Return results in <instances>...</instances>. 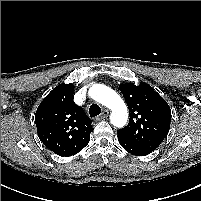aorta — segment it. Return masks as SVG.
<instances>
[{
    "label": "aorta",
    "mask_w": 201,
    "mask_h": 201,
    "mask_svg": "<svg viewBox=\"0 0 201 201\" xmlns=\"http://www.w3.org/2000/svg\"><path fill=\"white\" fill-rule=\"evenodd\" d=\"M89 95L112 111L110 120L114 126L120 128L126 124L128 119L126 104L113 89L105 85L96 84L90 88Z\"/></svg>",
    "instance_id": "1"
}]
</instances>
